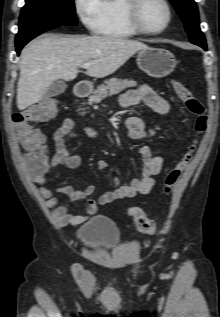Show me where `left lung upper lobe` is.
<instances>
[{"instance_id":"1","label":"left lung upper lobe","mask_w":220,"mask_h":317,"mask_svg":"<svg viewBox=\"0 0 220 317\" xmlns=\"http://www.w3.org/2000/svg\"><path fill=\"white\" fill-rule=\"evenodd\" d=\"M185 24L189 39L193 44H206L205 37L200 30L198 8L194 0H170Z\"/></svg>"}]
</instances>
